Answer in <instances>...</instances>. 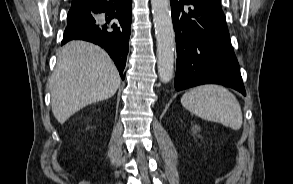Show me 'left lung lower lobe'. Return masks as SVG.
Masks as SVG:
<instances>
[{
  "instance_id": "1",
  "label": "left lung lower lobe",
  "mask_w": 293,
  "mask_h": 184,
  "mask_svg": "<svg viewBox=\"0 0 293 184\" xmlns=\"http://www.w3.org/2000/svg\"><path fill=\"white\" fill-rule=\"evenodd\" d=\"M176 33V90L222 84L246 95L220 0H170Z\"/></svg>"
}]
</instances>
